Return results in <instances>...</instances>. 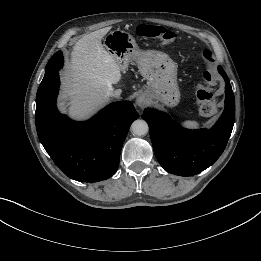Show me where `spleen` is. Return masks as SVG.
Returning <instances> with one entry per match:
<instances>
[{"label": "spleen", "instance_id": "3e777b00", "mask_svg": "<svg viewBox=\"0 0 261 261\" xmlns=\"http://www.w3.org/2000/svg\"><path fill=\"white\" fill-rule=\"evenodd\" d=\"M183 126L187 127V128H198L199 127V123L196 121H191V120H187L184 121Z\"/></svg>", "mask_w": 261, "mask_h": 261}]
</instances>
